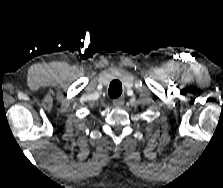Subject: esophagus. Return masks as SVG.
<instances>
[{"label":"esophagus","instance_id":"34e87169","mask_svg":"<svg viewBox=\"0 0 223 188\" xmlns=\"http://www.w3.org/2000/svg\"><path fill=\"white\" fill-rule=\"evenodd\" d=\"M124 99L123 98H117L115 100H113V105L116 107H121L124 105Z\"/></svg>","mask_w":223,"mask_h":188}]
</instances>
